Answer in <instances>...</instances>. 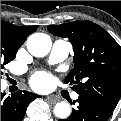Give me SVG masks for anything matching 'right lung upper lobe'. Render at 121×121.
<instances>
[{"label":"right lung upper lobe","instance_id":"cb5924a9","mask_svg":"<svg viewBox=\"0 0 121 121\" xmlns=\"http://www.w3.org/2000/svg\"><path fill=\"white\" fill-rule=\"evenodd\" d=\"M37 29V26H30V27H18L9 22L1 20V31L7 32L11 35L14 39L24 43L27 36L30 35Z\"/></svg>","mask_w":121,"mask_h":121}]
</instances>
